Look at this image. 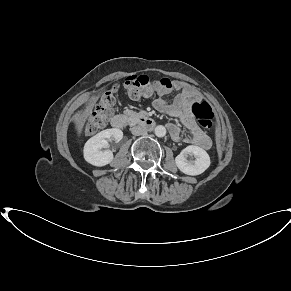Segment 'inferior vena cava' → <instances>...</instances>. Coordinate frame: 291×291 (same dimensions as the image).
Segmentation results:
<instances>
[{
  "instance_id": "obj_1",
  "label": "inferior vena cava",
  "mask_w": 291,
  "mask_h": 291,
  "mask_svg": "<svg viewBox=\"0 0 291 291\" xmlns=\"http://www.w3.org/2000/svg\"><path fill=\"white\" fill-rule=\"evenodd\" d=\"M147 128L143 126H134L131 128V132L135 136L145 135L147 134Z\"/></svg>"
}]
</instances>
